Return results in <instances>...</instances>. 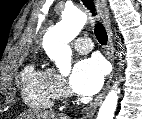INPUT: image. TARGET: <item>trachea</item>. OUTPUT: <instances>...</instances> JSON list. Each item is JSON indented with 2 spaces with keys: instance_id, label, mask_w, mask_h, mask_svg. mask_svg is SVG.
I'll return each mask as SVG.
<instances>
[{
  "instance_id": "trachea-1",
  "label": "trachea",
  "mask_w": 142,
  "mask_h": 119,
  "mask_svg": "<svg viewBox=\"0 0 142 119\" xmlns=\"http://www.w3.org/2000/svg\"><path fill=\"white\" fill-rule=\"evenodd\" d=\"M83 4L87 7V9L90 10L93 16H96V10H95V5L92 0H82ZM95 35L98 40V42L101 45H105L108 40L107 32L104 28V26L100 22H96L95 24Z\"/></svg>"
}]
</instances>
